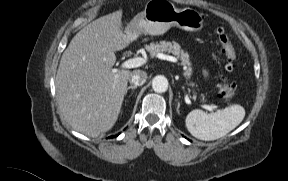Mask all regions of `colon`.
Listing matches in <instances>:
<instances>
[{
  "label": "colon",
  "instance_id": "1",
  "mask_svg": "<svg viewBox=\"0 0 288 181\" xmlns=\"http://www.w3.org/2000/svg\"><path fill=\"white\" fill-rule=\"evenodd\" d=\"M218 39L222 45V51L226 59L225 70L231 72L234 68L233 61L235 59V50L234 47L222 28H218L217 31ZM222 84L218 91V97L227 102L229 101L236 93V86L233 83L227 82L225 77H221Z\"/></svg>",
  "mask_w": 288,
  "mask_h": 181
}]
</instances>
